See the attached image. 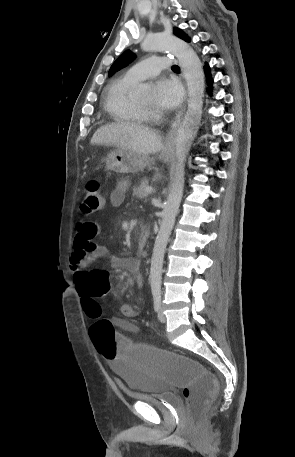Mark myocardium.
<instances>
[{
  "label": "myocardium",
  "instance_id": "obj_1",
  "mask_svg": "<svg viewBox=\"0 0 295 457\" xmlns=\"http://www.w3.org/2000/svg\"><path fill=\"white\" fill-rule=\"evenodd\" d=\"M141 107H142L144 110L149 109V107H148V106H145V105H142Z\"/></svg>",
  "mask_w": 295,
  "mask_h": 457
}]
</instances>
